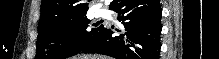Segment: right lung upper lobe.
<instances>
[{"label":"right lung upper lobe","mask_w":219,"mask_h":59,"mask_svg":"<svg viewBox=\"0 0 219 59\" xmlns=\"http://www.w3.org/2000/svg\"><path fill=\"white\" fill-rule=\"evenodd\" d=\"M88 9V3L83 0H42L38 27L53 20L86 14Z\"/></svg>","instance_id":"right-lung-upper-lobe-1"}]
</instances>
